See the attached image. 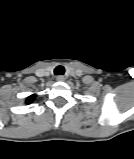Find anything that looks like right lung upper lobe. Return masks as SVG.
<instances>
[{
    "instance_id": "1",
    "label": "right lung upper lobe",
    "mask_w": 134,
    "mask_h": 159,
    "mask_svg": "<svg viewBox=\"0 0 134 159\" xmlns=\"http://www.w3.org/2000/svg\"><path fill=\"white\" fill-rule=\"evenodd\" d=\"M35 97H36V95H31V96H29L27 99H26V103H31L32 101H34V99H35Z\"/></svg>"
}]
</instances>
